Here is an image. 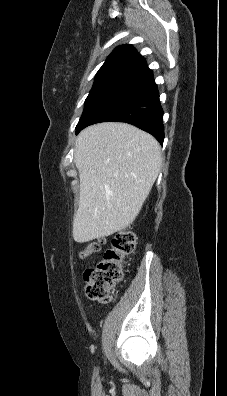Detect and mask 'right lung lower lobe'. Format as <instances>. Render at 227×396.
<instances>
[{
	"label": "right lung lower lobe",
	"instance_id": "98d812e1",
	"mask_svg": "<svg viewBox=\"0 0 227 396\" xmlns=\"http://www.w3.org/2000/svg\"><path fill=\"white\" fill-rule=\"evenodd\" d=\"M106 121L132 124L163 143V110L153 72L147 65L133 72L94 108L76 127V133L89 125Z\"/></svg>",
	"mask_w": 227,
	"mask_h": 396
}]
</instances>
